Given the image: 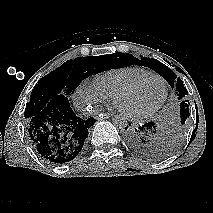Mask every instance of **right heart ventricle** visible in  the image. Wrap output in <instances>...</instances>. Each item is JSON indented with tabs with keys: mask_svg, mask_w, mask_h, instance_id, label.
Returning <instances> with one entry per match:
<instances>
[{
	"mask_svg": "<svg viewBox=\"0 0 213 213\" xmlns=\"http://www.w3.org/2000/svg\"><path fill=\"white\" fill-rule=\"evenodd\" d=\"M151 71L138 66H126L110 69L98 74L94 83L99 90L109 99H114L116 94L140 76Z\"/></svg>",
	"mask_w": 213,
	"mask_h": 213,
	"instance_id": "e07e8e85",
	"label": "right heart ventricle"
}]
</instances>
